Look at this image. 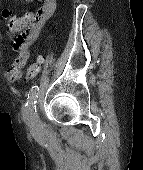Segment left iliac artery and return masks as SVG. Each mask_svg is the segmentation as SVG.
<instances>
[{
  "label": "left iliac artery",
  "mask_w": 143,
  "mask_h": 170,
  "mask_svg": "<svg viewBox=\"0 0 143 170\" xmlns=\"http://www.w3.org/2000/svg\"><path fill=\"white\" fill-rule=\"evenodd\" d=\"M38 93H39L38 86H33L28 93L27 103H26V113L28 115L36 114L37 112L36 103H37Z\"/></svg>",
  "instance_id": "left-iliac-artery-1"
}]
</instances>
